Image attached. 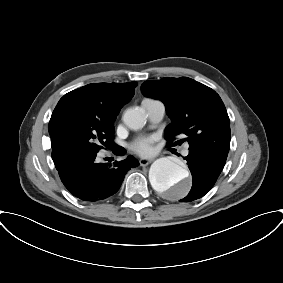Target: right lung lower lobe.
<instances>
[{
  "mask_svg": "<svg viewBox=\"0 0 283 283\" xmlns=\"http://www.w3.org/2000/svg\"><path fill=\"white\" fill-rule=\"evenodd\" d=\"M119 146L111 150L118 153ZM96 151L84 150L68 157L62 162H54L59 176L66 188L77 198L84 201H100L115 194L125 177L138 161L129 156L120 162L98 163Z\"/></svg>",
  "mask_w": 283,
  "mask_h": 283,
  "instance_id": "1",
  "label": "right lung lower lobe"
}]
</instances>
